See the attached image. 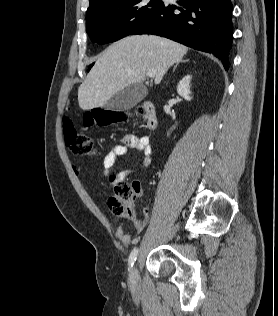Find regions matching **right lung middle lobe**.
<instances>
[{"label": "right lung middle lobe", "instance_id": "dd1d6c3e", "mask_svg": "<svg viewBox=\"0 0 278 316\" xmlns=\"http://www.w3.org/2000/svg\"><path fill=\"white\" fill-rule=\"evenodd\" d=\"M161 0H109L86 12V32L105 44L131 35L160 7Z\"/></svg>", "mask_w": 278, "mask_h": 316}]
</instances>
